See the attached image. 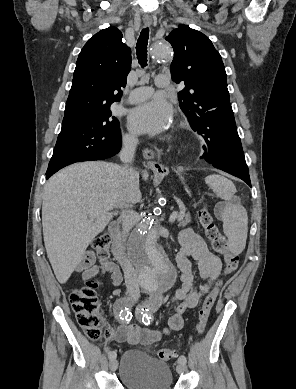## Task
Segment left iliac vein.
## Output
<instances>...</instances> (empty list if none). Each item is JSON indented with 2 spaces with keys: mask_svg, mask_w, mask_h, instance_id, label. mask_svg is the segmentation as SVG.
I'll return each mask as SVG.
<instances>
[{
  "mask_svg": "<svg viewBox=\"0 0 296 389\" xmlns=\"http://www.w3.org/2000/svg\"><path fill=\"white\" fill-rule=\"evenodd\" d=\"M176 371L179 373V374H182L186 371V365L184 363H178L177 367H176Z\"/></svg>",
  "mask_w": 296,
  "mask_h": 389,
  "instance_id": "left-iliac-vein-1",
  "label": "left iliac vein"
}]
</instances>
